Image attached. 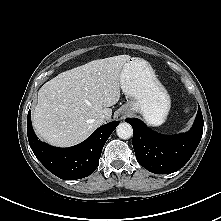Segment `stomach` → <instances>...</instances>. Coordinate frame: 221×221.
Here are the masks:
<instances>
[{
	"mask_svg": "<svg viewBox=\"0 0 221 221\" xmlns=\"http://www.w3.org/2000/svg\"><path fill=\"white\" fill-rule=\"evenodd\" d=\"M120 84L129 98L121 108L123 113H140L152 126L165 121L171 106L170 96L147 61L129 59L122 68Z\"/></svg>",
	"mask_w": 221,
	"mask_h": 221,
	"instance_id": "obj_1",
	"label": "stomach"
}]
</instances>
